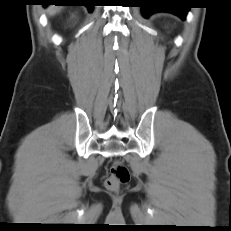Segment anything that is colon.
<instances>
[{
    "label": "colon",
    "instance_id": "1",
    "mask_svg": "<svg viewBox=\"0 0 231 231\" xmlns=\"http://www.w3.org/2000/svg\"><path fill=\"white\" fill-rule=\"evenodd\" d=\"M130 173L124 163L117 161L110 169V175L105 180V187L111 191H117L121 185L127 183Z\"/></svg>",
    "mask_w": 231,
    "mask_h": 231
}]
</instances>
